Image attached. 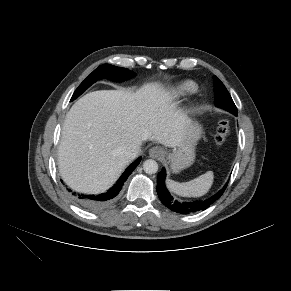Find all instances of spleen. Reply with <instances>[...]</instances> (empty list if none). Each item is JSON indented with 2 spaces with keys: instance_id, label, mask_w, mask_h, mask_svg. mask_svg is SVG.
Instances as JSON below:
<instances>
[{
  "instance_id": "obj_1",
  "label": "spleen",
  "mask_w": 291,
  "mask_h": 291,
  "mask_svg": "<svg viewBox=\"0 0 291 291\" xmlns=\"http://www.w3.org/2000/svg\"><path fill=\"white\" fill-rule=\"evenodd\" d=\"M213 178V172L207 171L205 174L184 183L168 179L166 185L171 192L177 195L184 197H200L209 191L213 183Z\"/></svg>"
}]
</instances>
